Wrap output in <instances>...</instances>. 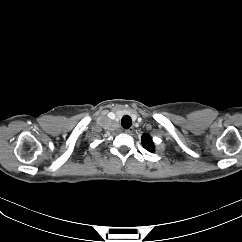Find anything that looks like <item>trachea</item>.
I'll return each instance as SVG.
<instances>
[{
    "instance_id": "trachea-1",
    "label": "trachea",
    "mask_w": 242,
    "mask_h": 242,
    "mask_svg": "<svg viewBox=\"0 0 242 242\" xmlns=\"http://www.w3.org/2000/svg\"><path fill=\"white\" fill-rule=\"evenodd\" d=\"M121 125L124 129H128L132 125V120L129 116H124L121 120Z\"/></svg>"
}]
</instances>
